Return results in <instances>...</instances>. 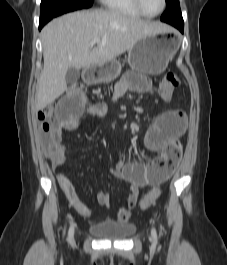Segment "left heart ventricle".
I'll use <instances>...</instances> for the list:
<instances>
[{
    "instance_id": "left-heart-ventricle-1",
    "label": "left heart ventricle",
    "mask_w": 227,
    "mask_h": 265,
    "mask_svg": "<svg viewBox=\"0 0 227 265\" xmlns=\"http://www.w3.org/2000/svg\"><path fill=\"white\" fill-rule=\"evenodd\" d=\"M142 7L148 14L157 13L162 7V0H141Z\"/></svg>"
}]
</instances>
